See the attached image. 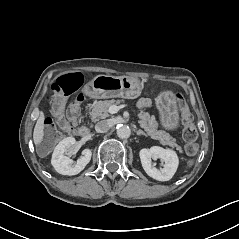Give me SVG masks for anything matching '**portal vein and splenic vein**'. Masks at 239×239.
I'll use <instances>...</instances> for the list:
<instances>
[{"mask_svg": "<svg viewBox=\"0 0 239 239\" xmlns=\"http://www.w3.org/2000/svg\"><path fill=\"white\" fill-rule=\"evenodd\" d=\"M121 108H123L122 105H120V106L112 105V106L109 107V113L115 114V113H117Z\"/></svg>", "mask_w": 239, "mask_h": 239, "instance_id": "obj_1", "label": "portal vein and splenic vein"}]
</instances>
